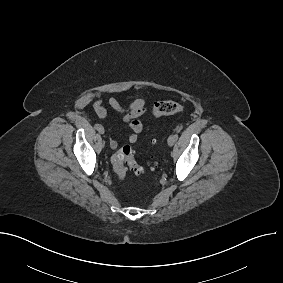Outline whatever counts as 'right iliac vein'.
Listing matches in <instances>:
<instances>
[{
    "instance_id": "1",
    "label": "right iliac vein",
    "mask_w": 283,
    "mask_h": 283,
    "mask_svg": "<svg viewBox=\"0 0 283 283\" xmlns=\"http://www.w3.org/2000/svg\"><path fill=\"white\" fill-rule=\"evenodd\" d=\"M98 131H99L100 134H104V132H105V130L102 126L98 129Z\"/></svg>"
}]
</instances>
